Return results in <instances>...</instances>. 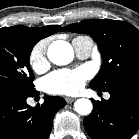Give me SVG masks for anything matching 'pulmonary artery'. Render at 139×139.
Listing matches in <instances>:
<instances>
[{
    "instance_id": "1",
    "label": "pulmonary artery",
    "mask_w": 139,
    "mask_h": 139,
    "mask_svg": "<svg viewBox=\"0 0 139 139\" xmlns=\"http://www.w3.org/2000/svg\"><path fill=\"white\" fill-rule=\"evenodd\" d=\"M72 45L79 58H87L90 56L93 50V41L88 36H77L72 40ZM105 98H109V94L105 95Z\"/></svg>"
}]
</instances>
